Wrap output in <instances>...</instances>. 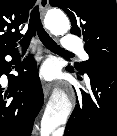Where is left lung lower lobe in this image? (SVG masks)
I'll use <instances>...</instances> for the list:
<instances>
[{
	"label": "left lung lower lobe",
	"mask_w": 117,
	"mask_h": 136,
	"mask_svg": "<svg viewBox=\"0 0 117 136\" xmlns=\"http://www.w3.org/2000/svg\"><path fill=\"white\" fill-rule=\"evenodd\" d=\"M86 73L90 93L81 90L64 136H117V64H93Z\"/></svg>",
	"instance_id": "1"
}]
</instances>
